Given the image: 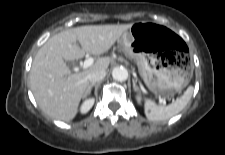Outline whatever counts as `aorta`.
<instances>
[{
    "mask_svg": "<svg viewBox=\"0 0 225 155\" xmlns=\"http://www.w3.org/2000/svg\"><path fill=\"white\" fill-rule=\"evenodd\" d=\"M112 77L113 79L117 80V81H125L128 78V71L125 67H115L112 70Z\"/></svg>",
    "mask_w": 225,
    "mask_h": 155,
    "instance_id": "aorta-1",
    "label": "aorta"
}]
</instances>
